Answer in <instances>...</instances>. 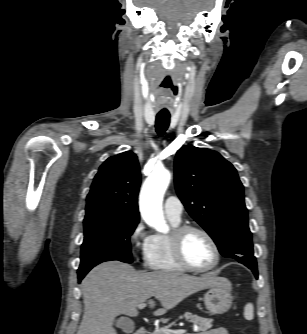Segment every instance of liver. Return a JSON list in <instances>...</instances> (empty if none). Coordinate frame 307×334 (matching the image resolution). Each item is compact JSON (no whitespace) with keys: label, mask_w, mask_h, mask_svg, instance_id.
Here are the masks:
<instances>
[{"label":"liver","mask_w":307,"mask_h":334,"mask_svg":"<svg viewBox=\"0 0 307 334\" xmlns=\"http://www.w3.org/2000/svg\"><path fill=\"white\" fill-rule=\"evenodd\" d=\"M217 284L214 272L200 277L176 272L140 273L119 261L101 263L82 281L84 314L77 334H117L115 318L120 314L137 316L138 305L146 301L153 308L152 297L163 307L153 313L160 316L189 295Z\"/></svg>","instance_id":"6515ba94"}]
</instances>
